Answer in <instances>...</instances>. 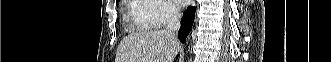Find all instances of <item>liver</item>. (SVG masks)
<instances>
[{"instance_id": "liver-1", "label": "liver", "mask_w": 331, "mask_h": 62, "mask_svg": "<svg viewBox=\"0 0 331 62\" xmlns=\"http://www.w3.org/2000/svg\"><path fill=\"white\" fill-rule=\"evenodd\" d=\"M179 49L164 30L135 32L120 42L115 62H173Z\"/></svg>"}]
</instances>
